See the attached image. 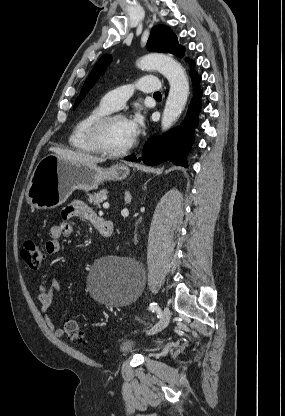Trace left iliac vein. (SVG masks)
<instances>
[{"mask_svg": "<svg viewBox=\"0 0 285 416\" xmlns=\"http://www.w3.org/2000/svg\"><path fill=\"white\" fill-rule=\"evenodd\" d=\"M169 321L170 309L168 306H165L160 321L152 329H150V333L155 334L162 331L168 325Z\"/></svg>", "mask_w": 285, "mask_h": 416, "instance_id": "obj_1", "label": "left iliac vein"}]
</instances>
